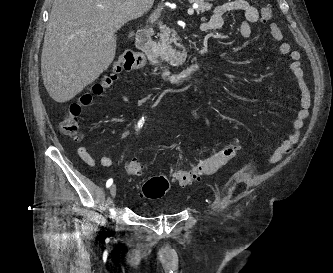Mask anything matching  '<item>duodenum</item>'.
Returning a JSON list of instances; mask_svg holds the SVG:
<instances>
[{"instance_id":"410a0bca","label":"duodenum","mask_w":333,"mask_h":273,"mask_svg":"<svg viewBox=\"0 0 333 273\" xmlns=\"http://www.w3.org/2000/svg\"><path fill=\"white\" fill-rule=\"evenodd\" d=\"M136 45L152 65L160 67L162 78L171 85L180 86L191 80L199 72V65L197 63H192L185 70L176 74H170L164 69L161 61L158 60L154 48L152 33L146 28L139 29L136 32Z\"/></svg>"}]
</instances>
